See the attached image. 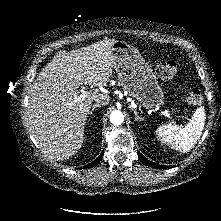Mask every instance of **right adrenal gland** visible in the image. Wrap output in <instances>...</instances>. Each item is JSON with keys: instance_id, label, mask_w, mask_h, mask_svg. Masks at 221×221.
Segmentation results:
<instances>
[{"instance_id": "right-adrenal-gland-1", "label": "right adrenal gland", "mask_w": 221, "mask_h": 221, "mask_svg": "<svg viewBox=\"0 0 221 221\" xmlns=\"http://www.w3.org/2000/svg\"><path fill=\"white\" fill-rule=\"evenodd\" d=\"M97 107H101V106H100L99 104H94V105L92 106V109H91V111H90V114H91V115H92L94 109L97 108Z\"/></svg>"}]
</instances>
